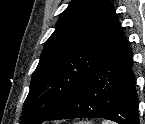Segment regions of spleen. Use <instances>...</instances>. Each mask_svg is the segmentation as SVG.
I'll return each instance as SVG.
<instances>
[{
    "mask_svg": "<svg viewBox=\"0 0 145 124\" xmlns=\"http://www.w3.org/2000/svg\"><path fill=\"white\" fill-rule=\"evenodd\" d=\"M102 124H113V123H111V122H109V121H105V122H103Z\"/></svg>",
    "mask_w": 145,
    "mask_h": 124,
    "instance_id": "obj_1",
    "label": "spleen"
}]
</instances>
